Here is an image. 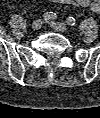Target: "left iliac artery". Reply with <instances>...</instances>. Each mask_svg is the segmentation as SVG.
I'll return each instance as SVG.
<instances>
[{"label":"left iliac artery","instance_id":"44dca946","mask_svg":"<svg viewBox=\"0 0 100 118\" xmlns=\"http://www.w3.org/2000/svg\"><path fill=\"white\" fill-rule=\"evenodd\" d=\"M66 23L69 25V26H74L76 24V20L75 18L73 17H68L67 20H66Z\"/></svg>","mask_w":100,"mask_h":118}]
</instances>
